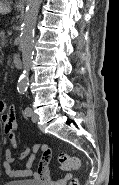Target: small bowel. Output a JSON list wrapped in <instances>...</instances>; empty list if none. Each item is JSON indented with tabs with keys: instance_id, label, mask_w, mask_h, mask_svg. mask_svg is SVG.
I'll list each match as a JSON object with an SVG mask.
<instances>
[{
	"instance_id": "small-bowel-1",
	"label": "small bowel",
	"mask_w": 119,
	"mask_h": 185,
	"mask_svg": "<svg viewBox=\"0 0 119 185\" xmlns=\"http://www.w3.org/2000/svg\"><path fill=\"white\" fill-rule=\"evenodd\" d=\"M0 114L4 134L3 143L5 156L2 166L6 175L11 178L33 177L37 180L46 181L48 185H67L72 177L71 173L65 174L58 180L51 179L48 168L51 149L46 144L36 143L33 147H26L19 155H14V150L17 148L16 132L18 125L14 116L13 106L7 105L5 101H0ZM8 143L9 146H7ZM38 152H41V154L37 168L33 171L32 167ZM23 160H26L25 167L19 169L14 168V162ZM62 169H67V167H62Z\"/></svg>"
}]
</instances>
